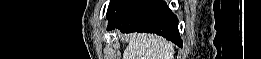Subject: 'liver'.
<instances>
[{
  "instance_id": "obj_1",
  "label": "liver",
  "mask_w": 261,
  "mask_h": 59,
  "mask_svg": "<svg viewBox=\"0 0 261 59\" xmlns=\"http://www.w3.org/2000/svg\"><path fill=\"white\" fill-rule=\"evenodd\" d=\"M128 46L123 59H173L174 45L164 38L149 34L126 35Z\"/></svg>"
}]
</instances>
